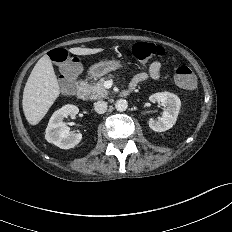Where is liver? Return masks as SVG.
<instances>
[{
  "label": "liver",
  "instance_id": "liver-1",
  "mask_svg": "<svg viewBox=\"0 0 232 232\" xmlns=\"http://www.w3.org/2000/svg\"><path fill=\"white\" fill-rule=\"evenodd\" d=\"M102 48L74 47L68 51L74 55H92ZM60 94V87L49 56L41 57L34 66L23 91V112L31 125L38 124Z\"/></svg>",
  "mask_w": 232,
  "mask_h": 232
}]
</instances>
